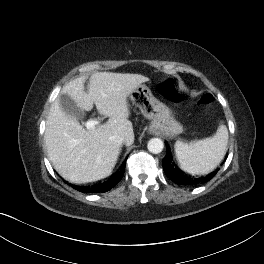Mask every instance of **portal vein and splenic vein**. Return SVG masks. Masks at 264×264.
Instances as JSON below:
<instances>
[{"instance_id":"1","label":"portal vein and splenic vein","mask_w":264,"mask_h":264,"mask_svg":"<svg viewBox=\"0 0 264 264\" xmlns=\"http://www.w3.org/2000/svg\"><path fill=\"white\" fill-rule=\"evenodd\" d=\"M100 123L99 120H96V119H91V120H88L85 124L86 128L87 129H93L95 128L96 125H98Z\"/></svg>"}]
</instances>
